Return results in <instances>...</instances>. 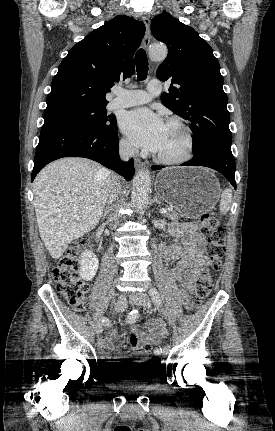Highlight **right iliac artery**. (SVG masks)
<instances>
[{
    "instance_id": "obj_1",
    "label": "right iliac artery",
    "mask_w": 275,
    "mask_h": 431,
    "mask_svg": "<svg viewBox=\"0 0 275 431\" xmlns=\"http://www.w3.org/2000/svg\"><path fill=\"white\" fill-rule=\"evenodd\" d=\"M138 317H139V312H138V310L134 309L128 314V316L126 318V323L132 324V323L136 322ZM101 324L104 326H108L109 325V319L107 317H103L101 319Z\"/></svg>"
}]
</instances>
